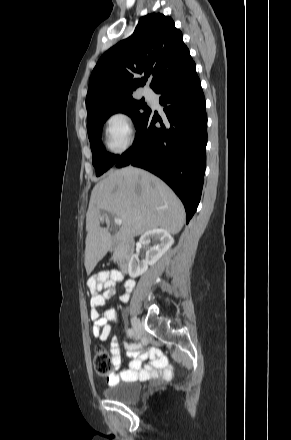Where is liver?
Instances as JSON below:
<instances>
[{"label":"liver","instance_id":"liver-1","mask_svg":"<svg viewBox=\"0 0 291 440\" xmlns=\"http://www.w3.org/2000/svg\"><path fill=\"white\" fill-rule=\"evenodd\" d=\"M101 211L107 228L100 227ZM111 213L122 220L115 235L126 241L157 228L177 234L185 222L180 199L161 179L135 167L111 171L93 188L86 214L85 267L89 275L105 256L111 237L108 233Z\"/></svg>","mask_w":291,"mask_h":440}]
</instances>
